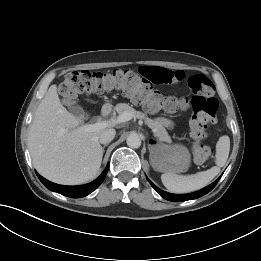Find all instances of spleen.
Here are the masks:
<instances>
[{
    "label": "spleen",
    "mask_w": 261,
    "mask_h": 261,
    "mask_svg": "<svg viewBox=\"0 0 261 261\" xmlns=\"http://www.w3.org/2000/svg\"><path fill=\"white\" fill-rule=\"evenodd\" d=\"M230 151V139L227 135L219 138L216 144V165L209 170L192 175H176L164 173L161 175L163 185L172 193H189L208 185L218 175L228 159Z\"/></svg>",
    "instance_id": "1"
}]
</instances>
